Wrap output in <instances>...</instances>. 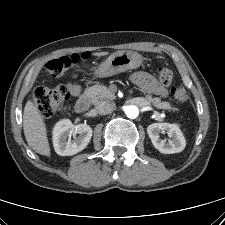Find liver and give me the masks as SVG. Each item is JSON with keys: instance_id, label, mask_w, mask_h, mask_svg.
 <instances>
[{"instance_id": "1", "label": "liver", "mask_w": 225, "mask_h": 225, "mask_svg": "<svg viewBox=\"0 0 225 225\" xmlns=\"http://www.w3.org/2000/svg\"><path fill=\"white\" fill-rule=\"evenodd\" d=\"M108 52H97L94 56H105ZM23 130L28 145L37 153L50 156L46 126L37 107L28 100L23 113Z\"/></svg>"}]
</instances>
